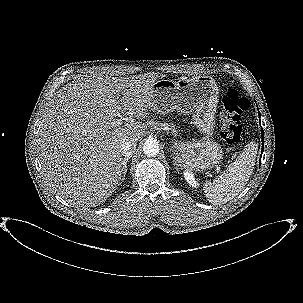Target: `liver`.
<instances>
[{"label": "liver", "mask_w": 303, "mask_h": 303, "mask_svg": "<svg viewBox=\"0 0 303 303\" xmlns=\"http://www.w3.org/2000/svg\"><path fill=\"white\" fill-rule=\"evenodd\" d=\"M164 76L86 75L52 98L38 132L39 158L48 185L68 204L95 207L111 196L122 175L121 140L137 142L147 129L116 117L127 110L148 118L152 86Z\"/></svg>", "instance_id": "obj_1"}]
</instances>
